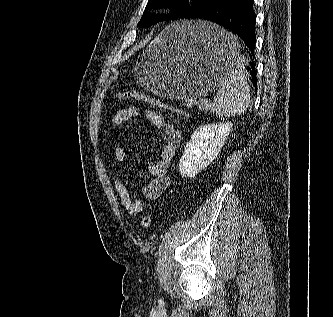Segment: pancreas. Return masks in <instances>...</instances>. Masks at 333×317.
Instances as JSON below:
<instances>
[{
  "mask_svg": "<svg viewBox=\"0 0 333 317\" xmlns=\"http://www.w3.org/2000/svg\"><path fill=\"white\" fill-rule=\"evenodd\" d=\"M198 106L200 109L206 110L208 107V104L207 105L199 104Z\"/></svg>",
  "mask_w": 333,
  "mask_h": 317,
  "instance_id": "pancreas-1",
  "label": "pancreas"
}]
</instances>
